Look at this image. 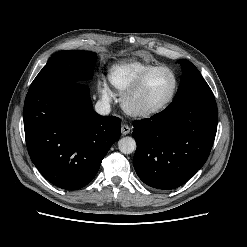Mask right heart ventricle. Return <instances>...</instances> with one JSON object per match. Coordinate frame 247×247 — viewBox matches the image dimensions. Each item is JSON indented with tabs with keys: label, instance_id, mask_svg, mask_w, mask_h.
I'll return each instance as SVG.
<instances>
[{
	"label": "right heart ventricle",
	"instance_id": "obj_1",
	"mask_svg": "<svg viewBox=\"0 0 247 247\" xmlns=\"http://www.w3.org/2000/svg\"><path fill=\"white\" fill-rule=\"evenodd\" d=\"M153 66L145 61H123L109 69L108 80L116 91L123 94L145 70Z\"/></svg>",
	"mask_w": 247,
	"mask_h": 247
}]
</instances>
